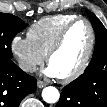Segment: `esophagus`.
I'll return each instance as SVG.
<instances>
[{
  "mask_svg": "<svg viewBox=\"0 0 107 107\" xmlns=\"http://www.w3.org/2000/svg\"><path fill=\"white\" fill-rule=\"evenodd\" d=\"M46 85H47V83L44 82V81L38 80V82H37L38 88H43V87H45Z\"/></svg>",
  "mask_w": 107,
  "mask_h": 107,
  "instance_id": "obj_1",
  "label": "esophagus"
}]
</instances>
